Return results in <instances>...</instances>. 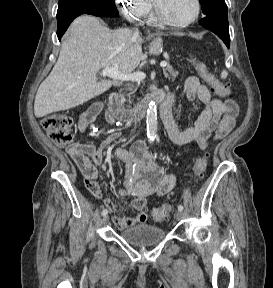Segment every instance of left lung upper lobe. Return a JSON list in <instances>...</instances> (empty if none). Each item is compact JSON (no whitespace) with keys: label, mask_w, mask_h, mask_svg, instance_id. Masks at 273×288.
<instances>
[{"label":"left lung upper lobe","mask_w":273,"mask_h":288,"mask_svg":"<svg viewBox=\"0 0 273 288\" xmlns=\"http://www.w3.org/2000/svg\"><path fill=\"white\" fill-rule=\"evenodd\" d=\"M205 17H214L227 14V5L224 0H200Z\"/></svg>","instance_id":"5c2ea615"}]
</instances>
